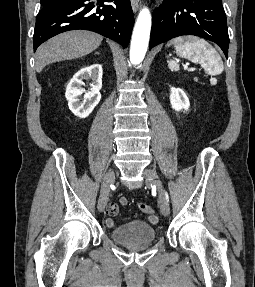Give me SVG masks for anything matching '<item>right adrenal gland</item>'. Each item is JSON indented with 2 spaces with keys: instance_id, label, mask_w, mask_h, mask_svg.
I'll list each match as a JSON object with an SVG mask.
<instances>
[{
  "instance_id": "right-adrenal-gland-1",
  "label": "right adrenal gland",
  "mask_w": 255,
  "mask_h": 287,
  "mask_svg": "<svg viewBox=\"0 0 255 287\" xmlns=\"http://www.w3.org/2000/svg\"><path fill=\"white\" fill-rule=\"evenodd\" d=\"M95 54H99V52H95Z\"/></svg>"
}]
</instances>
